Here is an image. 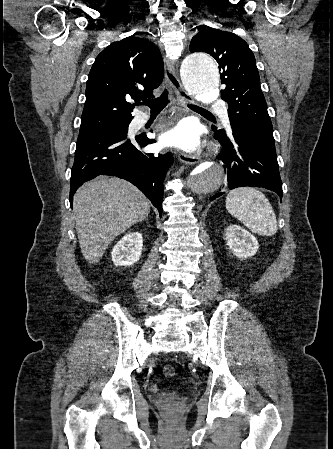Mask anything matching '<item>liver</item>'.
Masks as SVG:
<instances>
[{
	"instance_id": "liver-1",
	"label": "liver",
	"mask_w": 333,
	"mask_h": 449,
	"mask_svg": "<svg viewBox=\"0 0 333 449\" xmlns=\"http://www.w3.org/2000/svg\"><path fill=\"white\" fill-rule=\"evenodd\" d=\"M74 218L81 252L95 264L116 236L142 222L150 202L130 182L116 177H98L84 183L73 197Z\"/></svg>"
}]
</instances>
